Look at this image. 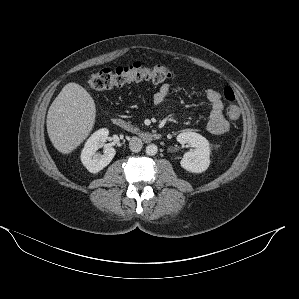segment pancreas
Listing matches in <instances>:
<instances>
[{"label": "pancreas", "mask_w": 299, "mask_h": 299, "mask_svg": "<svg viewBox=\"0 0 299 299\" xmlns=\"http://www.w3.org/2000/svg\"><path fill=\"white\" fill-rule=\"evenodd\" d=\"M132 131L136 132V131H137V128H133Z\"/></svg>", "instance_id": "pancreas-1"}]
</instances>
